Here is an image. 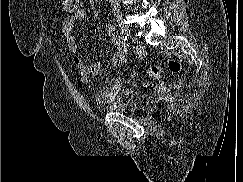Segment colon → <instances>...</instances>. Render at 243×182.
I'll list each match as a JSON object with an SVG mask.
<instances>
[{"instance_id": "1", "label": "colon", "mask_w": 243, "mask_h": 182, "mask_svg": "<svg viewBox=\"0 0 243 182\" xmlns=\"http://www.w3.org/2000/svg\"><path fill=\"white\" fill-rule=\"evenodd\" d=\"M62 7L64 11L73 14L79 9V0H62ZM168 66L172 72L181 71L180 63L174 59L169 60ZM162 72V68L157 65H153L148 69V75L153 78L161 77Z\"/></svg>"}]
</instances>
